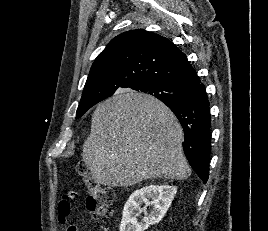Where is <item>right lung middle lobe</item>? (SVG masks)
Returning a JSON list of instances; mask_svg holds the SVG:
<instances>
[{
    "label": "right lung middle lobe",
    "instance_id": "1",
    "mask_svg": "<svg viewBox=\"0 0 268 231\" xmlns=\"http://www.w3.org/2000/svg\"><path fill=\"white\" fill-rule=\"evenodd\" d=\"M131 89L138 92L150 94L161 101L182 100L189 94V91L187 90L177 88L160 81H143L136 84ZM94 105L95 104L89 102H80L77 109L76 119L80 118L88 109Z\"/></svg>",
    "mask_w": 268,
    "mask_h": 231
}]
</instances>
